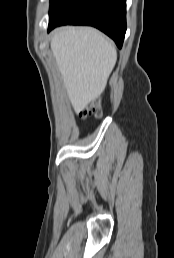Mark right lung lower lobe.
I'll use <instances>...</instances> for the list:
<instances>
[{"instance_id": "right-lung-lower-lobe-1", "label": "right lung lower lobe", "mask_w": 174, "mask_h": 258, "mask_svg": "<svg viewBox=\"0 0 174 258\" xmlns=\"http://www.w3.org/2000/svg\"><path fill=\"white\" fill-rule=\"evenodd\" d=\"M67 24L96 27L121 48L126 32V0H67L50 17L48 32Z\"/></svg>"}]
</instances>
